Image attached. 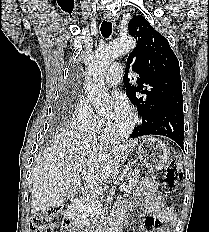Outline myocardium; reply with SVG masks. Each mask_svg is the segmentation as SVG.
<instances>
[{
	"label": "myocardium",
	"instance_id": "myocardium-1",
	"mask_svg": "<svg viewBox=\"0 0 209 232\" xmlns=\"http://www.w3.org/2000/svg\"><path fill=\"white\" fill-rule=\"evenodd\" d=\"M128 114L130 117V122L126 128H124L123 130L115 131L110 129L108 123L106 122L104 125L105 133L111 137H126L129 134H131L134 128L137 126L139 122V118L138 115L133 110H129Z\"/></svg>",
	"mask_w": 209,
	"mask_h": 232
}]
</instances>
